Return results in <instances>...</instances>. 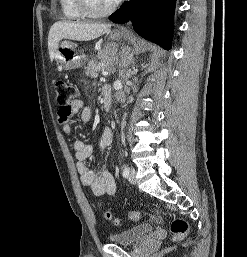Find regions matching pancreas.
I'll list each match as a JSON object with an SVG mask.
<instances>
[{"label": "pancreas", "mask_w": 247, "mask_h": 257, "mask_svg": "<svg viewBox=\"0 0 247 257\" xmlns=\"http://www.w3.org/2000/svg\"><path fill=\"white\" fill-rule=\"evenodd\" d=\"M101 61H98L96 58L92 59L88 62L87 66L85 67V75L87 77L96 78L98 77V73L101 71H112L113 68V61L107 57L102 58L100 57Z\"/></svg>", "instance_id": "1"}]
</instances>
